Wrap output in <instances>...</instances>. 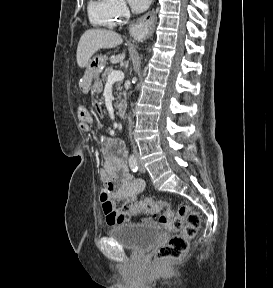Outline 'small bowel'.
Here are the masks:
<instances>
[{
	"label": "small bowel",
	"instance_id": "small-bowel-1",
	"mask_svg": "<svg viewBox=\"0 0 273 288\" xmlns=\"http://www.w3.org/2000/svg\"><path fill=\"white\" fill-rule=\"evenodd\" d=\"M100 114V111L98 110ZM80 129L90 132L93 118L86 110L79 112ZM101 151L104 165L100 171V178L104 188L100 192L102 209L106 222L110 226H117L129 222L140 211H128L132 200L144 191L145 184L141 179H134L128 169L126 150L121 140L104 136L101 139Z\"/></svg>",
	"mask_w": 273,
	"mask_h": 288
}]
</instances>
